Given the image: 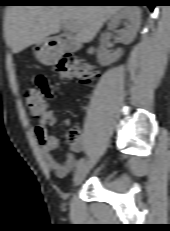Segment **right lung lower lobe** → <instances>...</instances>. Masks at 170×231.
Masks as SVG:
<instances>
[{
    "mask_svg": "<svg viewBox=\"0 0 170 231\" xmlns=\"http://www.w3.org/2000/svg\"><path fill=\"white\" fill-rule=\"evenodd\" d=\"M74 1H83V0H74ZM140 2H141L140 5H146L150 8V10H153L156 5L155 0H141ZM71 3L73 5H90L88 4V2H71Z\"/></svg>",
    "mask_w": 170,
    "mask_h": 231,
    "instance_id": "1",
    "label": "right lung lower lobe"
}]
</instances>
